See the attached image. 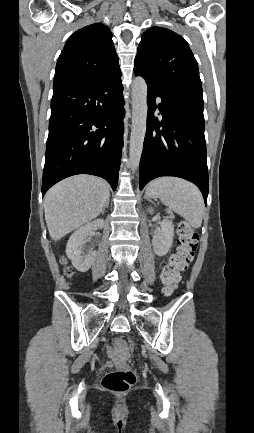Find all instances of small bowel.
Masks as SVG:
<instances>
[{
  "label": "small bowel",
  "mask_w": 254,
  "mask_h": 433,
  "mask_svg": "<svg viewBox=\"0 0 254 433\" xmlns=\"http://www.w3.org/2000/svg\"><path fill=\"white\" fill-rule=\"evenodd\" d=\"M167 291H168V287H167V286H165V287H164V292H165V294H167V295H170V294H168V292H167Z\"/></svg>",
  "instance_id": "1"
}]
</instances>
